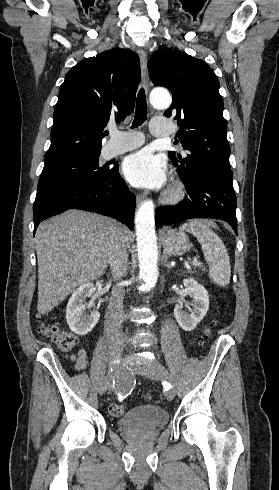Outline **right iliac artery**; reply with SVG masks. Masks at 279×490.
Wrapping results in <instances>:
<instances>
[{"mask_svg": "<svg viewBox=\"0 0 279 490\" xmlns=\"http://www.w3.org/2000/svg\"><path fill=\"white\" fill-rule=\"evenodd\" d=\"M113 382H114V381H113ZM118 395H119V396H121L122 394H121V393H119Z\"/></svg>", "mask_w": 279, "mask_h": 490, "instance_id": "right-iliac-artery-1", "label": "right iliac artery"}]
</instances>
